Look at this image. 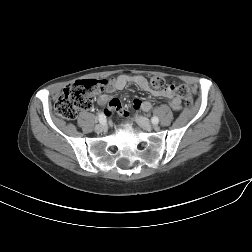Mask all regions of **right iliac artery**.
<instances>
[{"label": "right iliac artery", "mask_w": 252, "mask_h": 252, "mask_svg": "<svg viewBox=\"0 0 252 252\" xmlns=\"http://www.w3.org/2000/svg\"><path fill=\"white\" fill-rule=\"evenodd\" d=\"M98 116H99V118H101L100 124L105 125V123H106L105 115L103 113H99Z\"/></svg>", "instance_id": "82829eb1"}]
</instances>
